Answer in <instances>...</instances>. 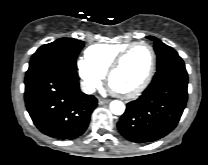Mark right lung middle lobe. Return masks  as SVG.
<instances>
[{"label":"right lung middle lobe","instance_id":"1","mask_svg":"<svg viewBox=\"0 0 208 165\" xmlns=\"http://www.w3.org/2000/svg\"><path fill=\"white\" fill-rule=\"evenodd\" d=\"M83 46V41L72 38H60L45 44L33 54L28 71L50 62L64 63L76 69V58Z\"/></svg>","mask_w":208,"mask_h":165}]
</instances>
